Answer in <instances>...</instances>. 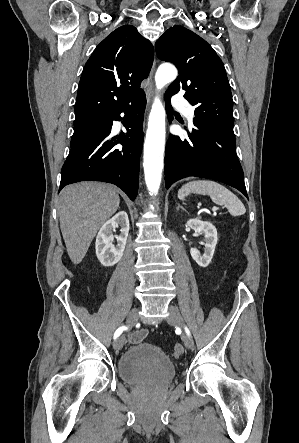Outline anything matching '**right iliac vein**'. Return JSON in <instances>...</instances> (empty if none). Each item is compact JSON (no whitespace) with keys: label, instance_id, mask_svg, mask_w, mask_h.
Returning <instances> with one entry per match:
<instances>
[{"label":"right iliac vein","instance_id":"obj_1","mask_svg":"<svg viewBox=\"0 0 299 443\" xmlns=\"http://www.w3.org/2000/svg\"><path fill=\"white\" fill-rule=\"evenodd\" d=\"M138 317H139L138 310L137 309L131 310L127 316L126 320L127 325L129 327L134 326L138 321ZM124 342H125V337L124 336L119 337L114 343V349L116 351H120L124 345Z\"/></svg>","mask_w":299,"mask_h":443}]
</instances>
